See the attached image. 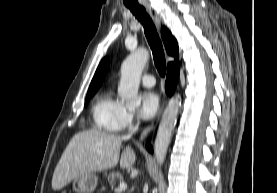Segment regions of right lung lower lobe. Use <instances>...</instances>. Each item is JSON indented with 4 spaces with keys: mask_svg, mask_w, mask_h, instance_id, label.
<instances>
[{
    "mask_svg": "<svg viewBox=\"0 0 277 193\" xmlns=\"http://www.w3.org/2000/svg\"><path fill=\"white\" fill-rule=\"evenodd\" d=\"M178 77H179V62H178V57L175 58V62L169 63L168 64V69H167V78L165 82V88H166V93L168 95H172L175 91L177 82H178ZM147 149L152 152V147L150 144L147 145Z\"/></svg>",
    "mask_w": 277,
    "mask_h": 193,
    "instance_id": "right-lung-lower-lobe-1",
    "label": "right lung lower lobe"
}]
</instances>
